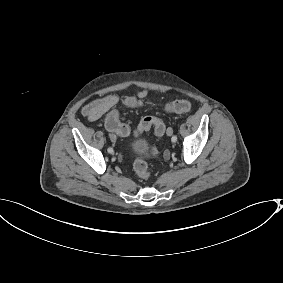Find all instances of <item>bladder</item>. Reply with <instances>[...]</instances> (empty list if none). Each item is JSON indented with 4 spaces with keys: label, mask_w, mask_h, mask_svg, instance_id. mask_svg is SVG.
<instances>
[{
    "label": "bladder",
    "mask_w": 283,
    "mask_h": 283,
    "mask_svg": "<svg viewBox=\"0 0 283 283\" xmlns=\"http://www.w3.org/2000/svg\"><path fill=\"white\" fill-rule=\"evenodd\" d=\"M129 147L134 152L142 151L146 155L150 153L149 139L141 133L130 141Z\"/></svg>",
    "instance_id": "obj_1"
}]
</instances>
